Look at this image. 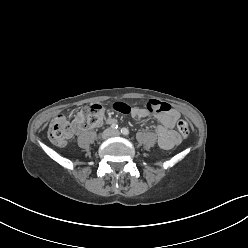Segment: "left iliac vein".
Instances as JSON below:
<instances>
[{"instance_id":"obj_1","label":"left iliac vein","mask_w":248,"mask_h":248,"mask_svg":"<svg viewBox=\"0 0 248 248\" xmlns=\"http://www.w3.org/2000/svg\"><path fill=\"white\" fill-rule=\"evenodd\" d=\"M120 135H121V133H120L119 130H114V131L112 132V136H120Z\"/></svg>"}]
</instances>
